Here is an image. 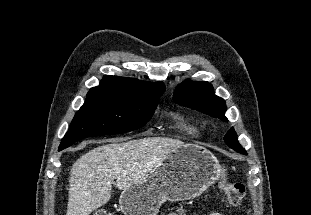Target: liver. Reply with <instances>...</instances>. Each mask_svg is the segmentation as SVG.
Masks as SVG:
<instances>
[{
	"label": "liver",
	"instance_id": "1",
	"mask_svg": "<svg viewBox=\"0 0 311 215\" xmlns=\"http://www.w3.org/2000/svg\"><path fill=\"white\" fill-rule=\"evenodd\" d=\"M121 141L98 146L73 164L66 215H89L111 199L114 179L119 190H126L184 145L181 140L167 137Z\"/></svg>",
	"mask_w": 311,
	"mask_h": 215
}]
</instances>
